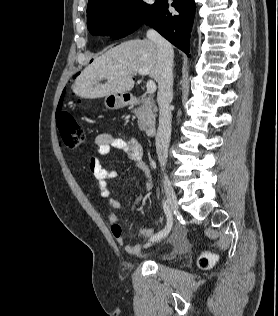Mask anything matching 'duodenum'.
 I'll return each mask as SVG.
<instances>
[{
    "mask_svg": "<svg viewBox=\"0 0 278 316\" xmlns=\"http://www.w3.org/2000/svg\"><path fill=\"white\" fill-rule=\"evenodd\" d=\"M124 101L126 104H138L140 99L134 95L127 94L124 96ZM145 132L148 136H154L156 134V127L154 125H150L146 128Z\"/></svg>",
    "mask_w": 278,
    "mask_h": 316,
    "instance_id": "duodenum-1",
    "label": "duodenum"
}]
</instances>
